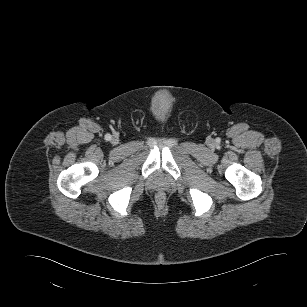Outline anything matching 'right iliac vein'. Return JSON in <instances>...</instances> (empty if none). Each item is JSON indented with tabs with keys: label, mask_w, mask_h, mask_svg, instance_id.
Listing matches in <instances>:
<instances>
[{
	"label": "right iliac vein",
	"mask_w": 307,
	"mask_h": 307,
	"mask_svg": "<svg viewBox=\"0 0 307 307\" xmlns=\"http://www.w3.org/2000/svg\"><path fill=\"white\" fill-rule=\"evenodd\" d=\"M113 142H116V139H113Z\"/></svg>",
	"instance_id": "63e3f726"
}]
</instances>
